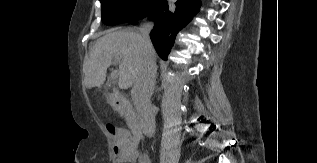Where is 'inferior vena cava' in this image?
I'll return each instance as SVG.
<instances>
[{"label":"inferior vena cava","mask_w":317,"mask_h":163,"mask_svg":"<svg viewBox=\"0 0 317 163\" xmlns=\"http://www.w3.org/2000/svg\"><path fill=\"white\" fill-rule=\"evenodd\" d=\"M153 23L141 26L142 64L137 73L131 94L136 108L139 126L144 135L155 134V111L151 104V96L155 87L156 62L155 51L150 40Z\"/></svg>","instance_id":"inferior-vena-cava-1"}]
</instances>
